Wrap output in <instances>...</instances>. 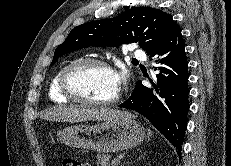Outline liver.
Returning a JSON list of instances; mask_svg holds the SVG:
<instances>
[{"label":"liver","instance_id":"1","mask_svg":"<svg viewBox=\"0 0 231 166\" xmlns=\"http://www.w3.org/2000/svg\"><path fill=\"white\" fill-rule=\"evenodd\" d=\"M124 115L131 114L110 107L96 108L90 106L58 105L45 110L42 113L41 118L50 121H66L76 123L90 120L111 121L116 120Z\"/></svg>","mask_w":231,"mask_h":166}]
</instances>
